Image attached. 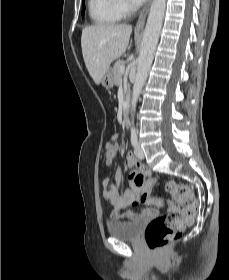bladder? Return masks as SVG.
I'll return each mask as SVG.
<instances>
[{"instance_id":"31cf9c89","label":"bladder","mask_w":229,"mask_h":280,"mask_svg":"<svg viewBox=\"0 0 229 280\" xmlns=\"http://www.w3.org/2000/svg\"><path fill=\"white\" fill-rule=\"evenodd\" d=\"M143 224V219L119 221L109 224L108 231L112 237L121 240H136L141 234Z\"/></svg>"}]
</instances>
